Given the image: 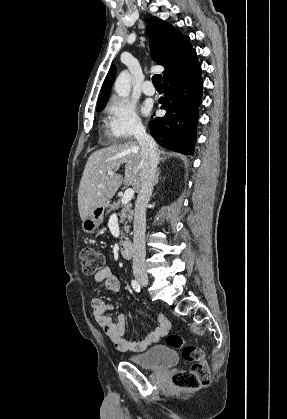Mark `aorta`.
Segmentation results:
<instances>
[{"label":"aorta","instance_id":"obj_1","mask_svg":"<svg viewBox=\"0 0 287 419\" xmlns=\"http://www.w3.org/2000/svg\"><path fill=\"white\" fill-rule=\"evenodd\" d=\"M114 89L119 97L127 98L131 92V75L125 70L116 78Z\"/></svg>","mask_w":287,"mask_h":419}]
</instances>
